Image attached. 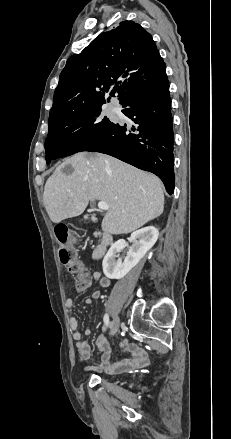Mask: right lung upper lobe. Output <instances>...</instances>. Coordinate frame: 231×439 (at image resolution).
I'll list each match as a JSON object with an SVG mask.
<instances>
[{
    "instance_id": "cb5924a9",
    "label": "right lung upper lobe",
    "mask_w": 231,
    "mask_h": 439,
    "mask_svg": "<svg viewBox=\"0 0 231 439\" xmlns=\"http://www.w3.org/2000/svg\"><path fill=\"white\" fill-rule=\"evenodd\" d=\"M167 79L166 66L151 37L139 24L123 21L68 58L54 92L49 120L102 106L105 92L120 103ZM110 97L107 99L109 102Z\"/></svg>"
}]
</instances>
